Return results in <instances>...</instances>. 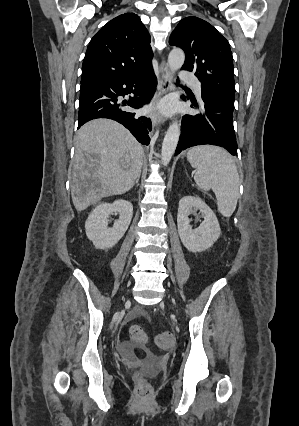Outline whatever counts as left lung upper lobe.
Segmentation results:
<instances>
[{
  "mask_svg": "<svg viewBox=\"0 0 299 426\" xmlns=\"http://www.w3.org/2000/svg\"><path fill=\"white\" fill-rule=\"evenodd\" d=\"M169 44L184 50L182 69L195 73L201 87L234 104L233 57L228 41L208 22L197 17L182 19Z\"/></svg>",
  "mask_w": 299,
  "mask_h": 426,
  "instance_id": "5c2ea615",
  "label": "left lung upper lobe"
}]
</instances>
